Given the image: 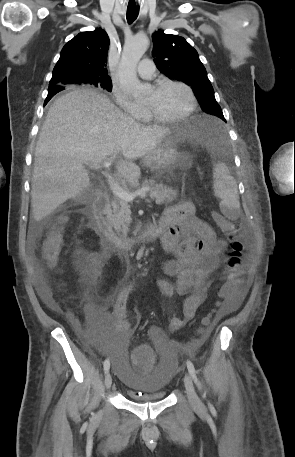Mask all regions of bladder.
<instances>
[{
  "mask_svg": "<svg viewBox=\"0 0 295 457\" xmlns=\"http://www.w3.org/2000/svg\"><path fill=\"white\" fill-rule=\"evenodd\" d=\"M96 347H103L106 360H112L119 373L120 380L126 387L127 395L134 401L146 402L162 400L167 396L166 388L171 379L169 369H178L179 363L174 353V346L166 342H156L155 349L161 358L155 374H134L131 371V354L128 338H96Z\"/></svg>",
  "mask_w": 295,
  "mask_h": 457,
  "instance_id": "obj_1",
  "label": "bladder"
}]
</instances>
